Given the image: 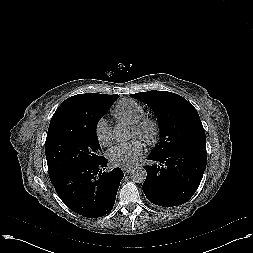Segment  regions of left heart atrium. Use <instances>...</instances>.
<instances>
[{
	"label": "left heart atrium",
	"instance_id": "left-heart-atrium-1",
	"mask_svg": "<svg viewBox=\"0 0 253 253\" xmlns=\"http://www.w3.org/2000/svg\"><path fill=\"white\" fill-rule=\"evenodd\" d=\"M144 152V144L139 140H133L127 143L116 144L109 151L108 156L114 165L129 166L135 164Z\"/></svg>",
	"mask_w": 253,
	"mask_h": 253
}]
</instances>
